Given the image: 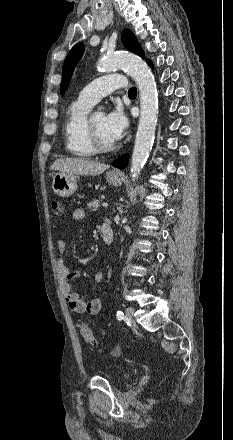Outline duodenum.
Returning <instances> with one entry per match:
<instances>
[{
  "mask_svg": "<svg viewBox=\"0 0 233 440\" xmlns=\"http://www.w3.org/2000/svg\"><path fill=\"white\" fill-rule=\"evenodd\" d=\"M101 235L104 243L110 245L113 241V228L109 220H105L101 226Z\"/></svg>",
  "mask_w": 233,
  "mask_h": 440,
  "instance_id": "410a0bca",
  "label": "duodenum"
}]
</instances>
